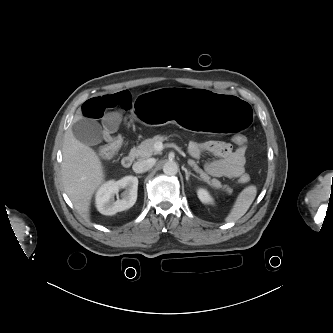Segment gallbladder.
Here are the masks:
<instances>
[{
  "instance_id": "1",
  "label": "gallbladder",
  "mask_w": 333,
  "mask_h": 333,
  "mask_svg": "<svg viewBox=\"0 0 333 333\" xmlns=\"http://www.w3.org/2000/svg\"><path fill=\"white\" fill-rule=\"evenodd\" d=\"M74 137L85 145H96L102 141V128L95 120L81 118L72 125Z\"/></svg>"
}]
</instances>
